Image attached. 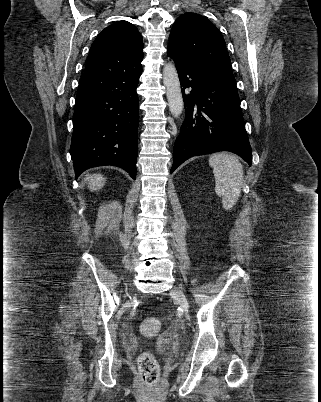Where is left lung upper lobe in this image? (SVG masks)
I'll return each mask as SVG.
<instances>
[{
  "label": "left lung upper lobe",
  "mask_w": 321,
  "mask_h": 402,
  "mask_svg": "<svg viewBox=\"0 0 321 402\" xmlns=\"http://www.w3.org/2000/svg\"><path fill=\"white\" fill-rule=\"evenodd\" d=\"M167 52L191 66L233 74L220 31L199 14L185 13L175 21Z\"/></svg>",
  "instance_id": "1"
}]
</instances>
